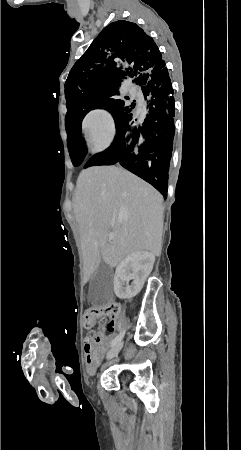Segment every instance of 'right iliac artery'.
Listing matches in <instances>:
<instances>
[{"mask_svg":"<svg viewBox=\"0 0 241 450\" xmlns=\"http://www.w3.org/2000/svg\"><path fill=\"white\" fill-rule=\"evenodd\" d=\"M124 333H125L124 330L121 331V332L114 338V340H113L112 343H111V346H115V345L123 338Z\"/></svg>","mask_w":241,"mask_h":450,"instance_id":"right-iliac-artery-1","label":"right iliac artery"}]
</instances>
